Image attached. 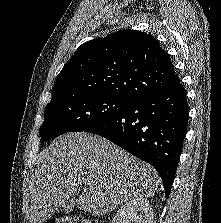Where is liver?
I'll list each match as a JSON object with an SVG mask.
<instances>
[{"label":"liver","mask_w":221,"mask_h":223,"mask_svg":"<svg viewBox=\"0 0 221 223\" xmlns=\"http://www.w3.org/2000/svg\"><path fill=\"white\" fill-rule=\"evenodd\" d=\"M85 213L103 216L128 200L154 196L160 186L156 170L95 134L70 132L54 139L37 158L29 223H44L55 212H70L69 200Z\"/></svg>","instance_id":"1"}]
</instances>
